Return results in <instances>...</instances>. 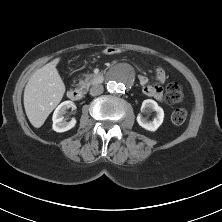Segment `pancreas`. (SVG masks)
<instances>
[{"mask_svg": "<svg viewBox=\"0 0 222 222\" xmlns=\"http://www.w3.org/2000/svg\"><path fill=\"white\" fill-rule=\"evenodd\" d=\"M95 78H96V76L94 74L86 75L85 79L80 80L78 85L81 88H88L93 83Z\"/></svg>", "mask_w": 222, "mask_h": 222, "instance_id": "obj_1", "label": "pancreas"}]
</instances>
